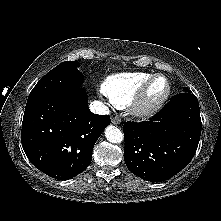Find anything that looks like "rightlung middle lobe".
Listing matches in <instances>:
<instances>
[{
    "instance_id": "obj_1",
    "label": "right lung middle lobe",
    "mask_w": 221,
    "mask_h": 221,
    "mask_svg": "<svg viewBox=\"0 0 221 221\" xmlns=\"http://www.w3.org/2000/svg\"><path fill=\"white\" fill-rule=\"evenodd\" d=\"M76 61L62 62L49 71L29 94L27 102L57 94H65L80 88L83 83V75L77 69Z\"/></svg>"
}]
</instances>
